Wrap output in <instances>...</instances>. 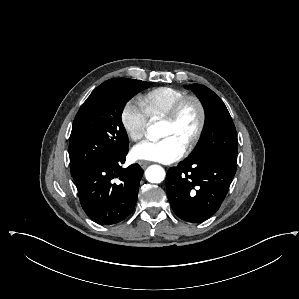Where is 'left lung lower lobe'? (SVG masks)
<instances>
[{
  "instance_id": "1",
  "label": "left lung lower lobe",
  "mask_w": 299,
  "mask_h": 299,
  "mask_svg": "<svg viewBox=\"0 0 299 299\" xmlns=\"http://www.w3.org/2000/svg\"><path fill=\"white\" fill-rule=\"evenodd\" d=\"M235 172L236 163L217 156L171 167L166 187L173 211L185 221H205L219 209Z\"/></svg>"
}]
</instances>
